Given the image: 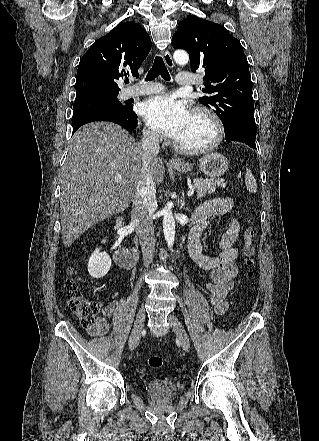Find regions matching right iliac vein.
I'll list each match as a JSON object with an SVG mask.
<instances>
[{
  "mask_svg": "<svg viewBox=\"0 0 319 441\" xmlns=\"http://www.w3.org/2000/svg\"><path fill=\"white\" fill-rule=\"evenodd\" d=\"M145 322V310L144 308H140V310L137 313L136 320L134 322V326L129 338V350H134L140 341L141 333L144 327Z\"/></svg>",
  "mask_w": 319,
  "mask_h": 441,
  "instance_id": "63e3f726",
  "label": "right iliac vein"
}]
</instances>
